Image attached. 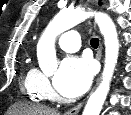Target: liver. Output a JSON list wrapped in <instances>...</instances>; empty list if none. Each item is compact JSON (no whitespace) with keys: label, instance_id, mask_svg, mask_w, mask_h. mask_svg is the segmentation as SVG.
<instances>
[{"label":"liver","instance_id":"obj_1","mask_svg":"<svg viewBox=\"0 0 131 115\" xmlns=\"http://www.w3.org/2000/svg\"><path fill=\"white\" fill-rule=\"evenodd\" d=\"M9 115H60L50 108L29 104H14L8 112Z\"/></svg>","mask_w":131,"mask_h":115}]
</instances>
